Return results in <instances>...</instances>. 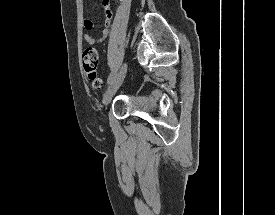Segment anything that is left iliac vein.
Returning a JSON list of instances; mask_svg holds the SVG:
<instances>
[{
  "label": "left iliac vein",
  "instance_id": "obj_1",
  "mask_svg": "<svg viewBox=\"0 0 275 215\" xmlns=\"http://www.w3.org/2000/svg\"><path fill=\"white\" fill-rule=\"evenodd\" d=\"M126 72H127V64L124 63L122 65V67L120 68V70H119L118 74L116 75V77L110 83L107 92L104 94L103 103L105 105H107L111 101V98L113 97V95L116 93L117 89L119 88V86L123 82V80L125 78V75H126Z\"/></svg>",
  "mask_w": 275,
  "mask_h": 215
}]
</instances>
